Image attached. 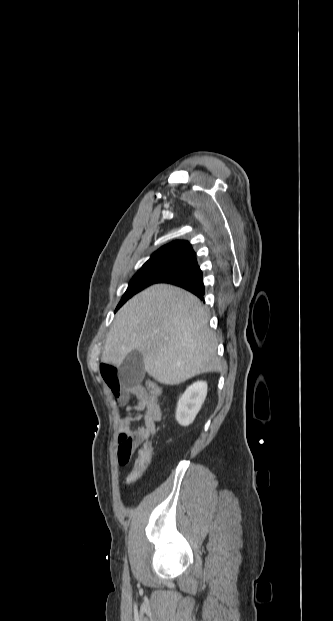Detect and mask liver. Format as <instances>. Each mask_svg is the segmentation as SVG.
<instances>
[{
  "instance_id": "6515ba94",
  "label": "liver",
  "mask_w": 333,
  "mask_h": 621,
  "mask_svg": "<svg viewBox=\"0 0 333 621\" xmlns=\"http://www.w3.org/2000/svg\"><path fill=\"white\" fill-rule=\"evenodd\" d=\"M199 299L182 288L156 284L130 299L116 314L102 362L120 366L136 350L147 373L162 384H180L220 371L217 340Z\"/></svg>"
}]
</instances>
